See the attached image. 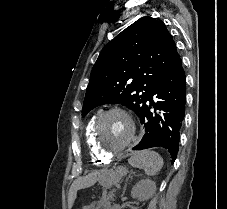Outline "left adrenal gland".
<instances>
[{"label":"left adrenal gland","instance_id":"obj_1","mask_svg":"<svg viewBox=\"0 0 227 209\" xmlns=\"http://www.w3.org/2000/svg\"><path fill=\"white\" fill-rule=\"evenodd\" d=\"M131 173H133V171H131ZM134 175V173H133ZM128 179H130V175H127L126 179H125V183H124V187H123V191H122V195H125V191H126V187H127V181Z\"/></svg>","mask_w":227,"mask_h":209}]
</instances>
